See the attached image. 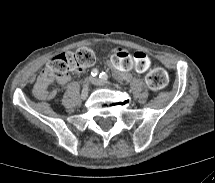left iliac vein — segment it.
I'll list each match as a JSON object with an SVG mask.
<instances>
[{
	"label": "left iliac vein",
	"mask_w": 215,
	"mask_h": 183,
	"mask_svg": "<svg viewBox=\"0 0 215 183\" xmlns=\"http://www.w3.org/2000/svg\"><path fill=\"white\" fill-rule=\"evenodd\" d=\"M90 82L94 85H97V86H105L106 85V82H104L101 79L96 78V77L90 78Z\"/></svg>",
	"instance_id": "left-iliac-vein-1"
}]
</instances>
